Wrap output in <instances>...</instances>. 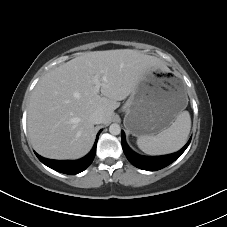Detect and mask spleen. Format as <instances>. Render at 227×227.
Listing matches in <instances>:
<instances>
[{"instance_id":"1","label":"spleen","mask_w":227,"mask_h":227,"mask_svg":"<svg viewBox=\"0 0 227 227\" xmlns=\"http://www.w3.org/2000/svg\"><path fill=\"white\" fill-rule=\"evenodd\" d=\"M191 118L188 111L180 112L175 121L167 129L155 136H140L138 147L150 155H164L181 149L188 138Z\"/></svg>"}]
</instances>
